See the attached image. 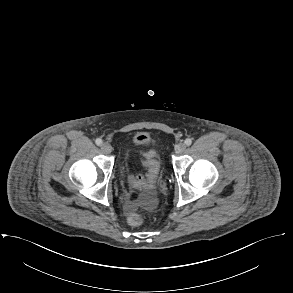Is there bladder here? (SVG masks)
I'll list each match as a JSON object with an SVG mask.
<instances>
[{"label": "bladder", "instance_id": "31cf9c89", "mask_svg": "<svg viewBox=\"0 0 293 293\" xmlns=\"http://www.w3.org/2000/svg\"><path fill=\"white\" fill-rule=\"evenodd\" d=\"M129 169H130V165H129L128 158L126 156H123L121 163H120L121 175L123 177L126 176V174L129 172Z\"/></svg>", "mask_w": 293, "mask_h": 293}]
</instances>
